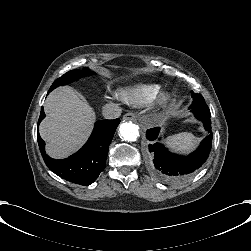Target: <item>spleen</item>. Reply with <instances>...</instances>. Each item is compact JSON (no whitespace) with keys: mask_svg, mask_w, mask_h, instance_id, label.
Returning <instances> with one entry per match:
<instances>
[{"mask_svg":"<svg viewBox=\"0 0 251 251\" xmlns=\"http://www.w3.org/2000/svg\"><path fill=\"white\" fill-rule=\"evenodd\" d=\"M201 138L194 136L192 133L182 132L172 136H168L165 143L174 151L188 153L192 151Z\"/></svg>","mask_w":251,"mask_h":251,"instance_id":"obj_1","label":"spleen"}]
</instances>
